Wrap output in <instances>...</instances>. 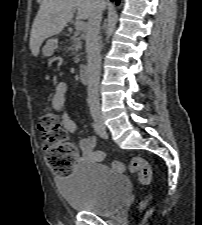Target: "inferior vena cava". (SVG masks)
I'll return each mask as SVG.
<instances>
[{
	"label": "inferior vena cava",
	"mask_w": 202,
	"mask_h": 225,
	"mask_svg": "<svg viewBox=\"0 0 202 225\" xmlns=\"http://www.w3.org/2000/svg\"><path fill=\"white\" fill-rule=\"evenodd\" d=\"M103 4L96 1L94 12L88 20L86 34L87 70H88V104L91 110H99V80H100V45L98 42Z\"/></svg>",
	"instance_id": "inferior-vena-cava-1"
}]
</instances>
